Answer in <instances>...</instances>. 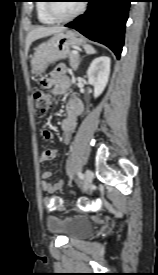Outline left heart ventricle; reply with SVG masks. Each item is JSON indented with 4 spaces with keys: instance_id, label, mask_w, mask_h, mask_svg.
<instances>
[{
    "instance_id": "b2bd125f",
    "label": "left heart ventricle",
    "mask_w": 158,
    "mask_h": 275,
    "mask_svg": "<svg viewBox=\"0 0 158 275\" xmlns=\"http://www.w3.org/2000/svg\"><path fill=\"white\" fill-rule=\"evenodd\" d=\"M80 1H58L54 4L55 11L60 16L72 14L80 5Z\"/></svg>"
}]
</instances>
